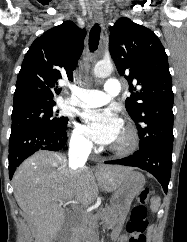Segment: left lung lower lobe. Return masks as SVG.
<instances>
[{
    "label": "left lung lower lobe",
    "instance_id": "1",
    "mask_svg": "<svg viewBox=\"0 0 187 242\" xmlns=\"http://www.w3.org/2000/svg\"><path fill=\"white\" fill-rule=\"evenodd\" d=\"M173 143H163L156 146L139 149L128 157L106 161V164H120L138 167L148 171L161 183L164 192L168 191L172 168Z\"/></svg>",
    "mask_w": 187,
    "mask_h": 242
}]
</instances>
